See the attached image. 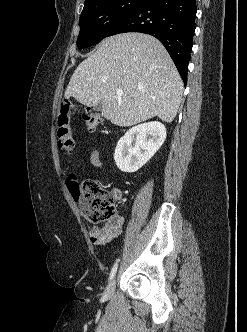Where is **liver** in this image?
Listing matches in <instances>:
<instances>
[{"label": "liver", "mask_w": 247, "mask_h": 332, "mask_svg": "<svg viewBox=\"0 0 247 332\" xmlns=\"http://www.w3.org/2000/svg\"><path fill=\"white\" fill-rule=\"evenodd\" d=\"M182 94V79L166 49L142 33L105 38L78 65L65 91L66 98L89 107L102 103L101 115L121 127L155 116L172 122Z\"/></svg>", "instance_id": "liver-1"}]
</instances>
